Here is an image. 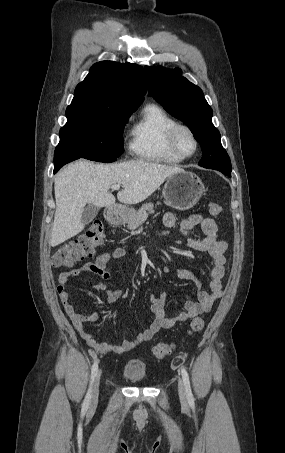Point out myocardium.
Masks as SVG:
<instances>
[{
	"label": "myocardium",
	"instance_id": "obj_1",
	"mask_svg": "<svg viewBox=\"0 0 285 453\" xmlns=\"http://www.w3.org/2000/svg\"><path fill=\"white\" fill-rule=\"evenodd\" d=\"M181 132H186L187 134H189L194 142V149L190 154L183 153L178 146V137ZM168 141H169V146H170L171 150L182 159L192 157L197 152L198 146H199V142H198V139H197L194 131L187 125H183V124H176L171 129V131L169 133Z\"/></svg>",
	"mask_w": 285,
	"mask_h": 453
}]
</instances>
